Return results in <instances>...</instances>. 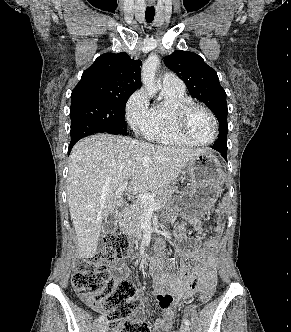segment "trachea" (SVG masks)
Listing matches in <instances>:
<instances>
[{
    "mask_svg": "<svg viewBox=\"0 0 291 332\" xmlns=\"http://www.w3.org/2000/svg\"><path fill=\"white\" fill-rule=\"evenodd\" d=\"M155 9L154 6H148L145 12V18L148 23H151L154 19Z\"/></svg>",
    "mask_w": 291,
    "mask_h": 332,
    "instance_id": "3493384b",
    "label": "trachea"
}]
</instances>
